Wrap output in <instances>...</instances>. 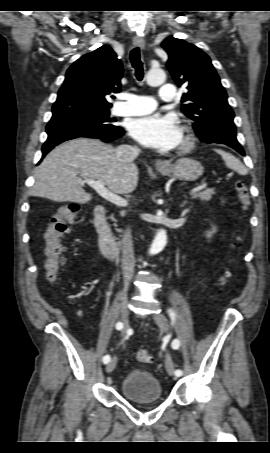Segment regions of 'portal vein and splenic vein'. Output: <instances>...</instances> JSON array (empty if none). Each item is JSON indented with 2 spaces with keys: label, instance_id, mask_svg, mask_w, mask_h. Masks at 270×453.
<instances>
[{
  "label": "portal vein and splenic vein",
  "instance_id": "portal-vein-and-splenic-vein-1",
  "mask_svg": "<svg viewBox=\"0 0 270 453\" xmlns=\"http://www.w3.org/2000/svg\"><path fill=\"white\" fill-rule=\"evenodd\" d=\"M85 183H87L90 187H92L102 198L105 200L111 202L112 204L119 206V207H125L127 206L126 200L121 198L120 196L114 194L113 192H110L107 190L104 186V182L101 180H92V179H86L84 180ZM207 184L202 183L199 186L193 188L190 193L194 194L197 193L204 188H206Z\"/></svg>",
  "mask_w": 270,
  "mask_h": 453
}]
</instances>
